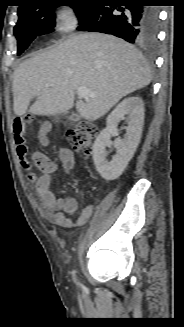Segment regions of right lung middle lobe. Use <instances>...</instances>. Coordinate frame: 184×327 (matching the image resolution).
Here are the masks:
<instances>
[{"mask_svg": "<svg viewBox=\"0 0 184 327\" xmlns=\"http://www.w3.org/2000/svg\"><path fill=\"white\" fill-rule=\"evenodd\" d=\"M45 1L33 4L18 11L19 20L14 28L17 38V55H20L38 35L47 34L53 31L55 26L54 8L56 6L44 5ZM82 21L92 10L94 5L72 6Z\"/></svg>", "mask_w": 184, "mask_h": 327, "instance_id": "1", "label": "right lung middle lobe"}]
</instances>
